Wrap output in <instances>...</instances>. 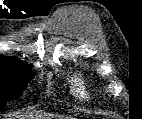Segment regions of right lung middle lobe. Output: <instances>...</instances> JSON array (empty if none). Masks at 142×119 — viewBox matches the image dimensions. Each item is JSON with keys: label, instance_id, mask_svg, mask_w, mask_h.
<instances>
[{"label": "right lung middle lobe", "instance_id": "dd1d6c3e", "mask_svg": "<svg viewBox=\"0 0 142 119\" xmlns=\"http://www.w3.org/2000/svg\"><path fill=\"white\" fill-rule=\"evenodd\" d=\"M31 78L29 67L0 69V110L7 102L21 96Z\"/></svg>", "mask_w": 142, "mask_h": 119}]
</instances>
